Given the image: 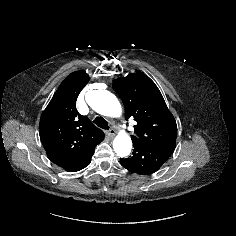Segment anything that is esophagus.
I'll use <instances>...</instances> for the list:
<instances>
[{"label": "esophagus", "instance_id": "obj_1", "mask_svg": "<svg viewBox=\"0 0 236 236\" xmlns=\"http://www.w3.org/2000/svg\"><path fill=\"white\" fill-rule=\"evenodd\" d=\"M109 138H113L115 136V130L114 129H110L107 133Z\"/></svg>", "mask_w": 236, "mask_h": 236}]
</instances>
